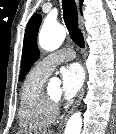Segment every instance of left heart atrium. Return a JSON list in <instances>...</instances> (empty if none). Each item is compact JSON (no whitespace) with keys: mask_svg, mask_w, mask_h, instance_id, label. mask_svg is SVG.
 Masks as SVG:
<instances>
[{"mask_svg":"<svg viewBox=\"0 0 116 134\" xmlns=\"http://www.w3.org/2000/svg\"><path fill=\"white\" fill-rule=\"evenodd\" d=\"M61 96L63 100L73 99L84 84V71L79 64H71L61 70Z\"/></svg>","mask_w":116,"mask_h":134,"instance_id":"39dd6f15","label":"left heart atrium"}]
</instances>
